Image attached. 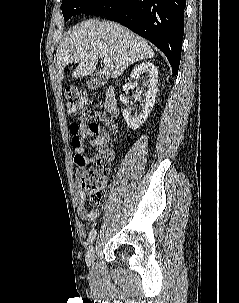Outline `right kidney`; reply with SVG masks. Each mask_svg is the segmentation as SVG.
Returning <instances> with one entry per match:
<instances>
[{"label":"right kidney","mask_w":239,"mask_h":303,"mask_svg":"<svg viewBox=\"0 0 239 303\" xmlns=\"http://www.w3.org/2000/svg\"><path fill=\"white\" fill-rule=\"evenodd\" d=\"M144 73L148 74L149 77V90L145 93V104L142 112L139 115H131L129 109H124L123 117L129 128L132 130L138 129L148 118V115L151 113L153 106L155 104L156 94L158 91V70L153 63L143 62L140 65L136 66L131 72V78H136ZM137 84L129 82L122 86L123 91H128L129 89L136 88ZM140 96L141 92H137ZM120 101L123 104H127L128 100L125 95L120 96Z\"/></svg>","instance_id":"right-kidney-1"}]
</instances>
